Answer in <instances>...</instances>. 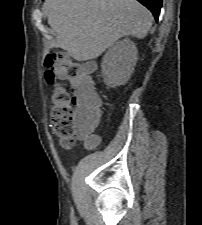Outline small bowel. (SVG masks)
Listing matches in <instances>:
<instances>
[{
	"mask_svg": "<svg viewBox=\"0 0 202 225\" xmlns=\"http://www.w3.org/2000/svg\"><path fill=\"white\" fill-rule=\"evenodd\" d=\"M83 65H84V68L86 70H90L92 68H94L95 66V63L92 62V61H85L83 62ZM77 105H78V110H79V113L80 114H84V113H87L89 112L90 110H92L90 107H89V102L88 100L84 99V98H80L77 100ZM83 122H84V125H87L89 126L91 129L94 128V123L92 122V120H90L89 118H84L83 119Z\"/></svg>",
	"mask_w": 202,
	"mask_h": 225,
	"instance_id": "1",
	"label": "small bowel"
}]
</instances>
